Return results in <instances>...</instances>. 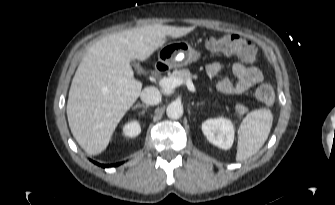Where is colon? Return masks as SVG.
<instances>
[{"instance_id":"5ec220e1","label":"colon","mask_w":335,"mask_h":205,"mask_svg":"<svg viewBox=\"0 0 335 205\" xmlns=\"http://www.w3.org/2000/svg\"><path fill=\"white\" fill-rule=\"evenodd\" d=\"M207 49L213 54L236 55L241 61L253 64L256 60L257 49L249 41L235 34L210 38L206 43ZM257 100L265 106H271L275 100L273 88L263 84L256 89Z\"/></svg>"}]
</instances>
